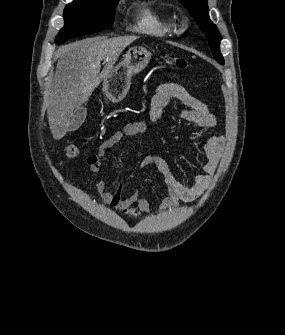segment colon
<instances>
[{
  "label": "colon",
  "mask_w": 285,
  "mask_h": 335,
  "mask_svg": "<svg viewBox=\"0 0 285 335\" xmlns=\"http://www.w3.org/2000/svg\"><path fill=\"white\" fill-rule=\"evenodd\" d=\"M166 59H167V63L172 68L177 69V70H183L188 65L187 60L181 57L169 55L166 57ZM66 153H67V156L70 158L76 157L79 154V145L75 143L68 145L66 148Z\"/></svg>",
  "instance_id": "colon-1"
}]
</instances>
